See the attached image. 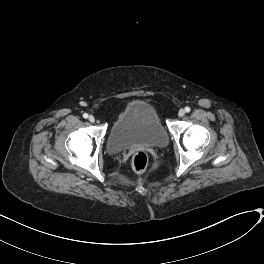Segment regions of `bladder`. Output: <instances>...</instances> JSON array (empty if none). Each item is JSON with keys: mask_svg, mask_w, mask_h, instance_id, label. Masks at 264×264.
<instances>
[{"mask_svg": "<svg viewBox=\"0 0 264 264\" xmlns=\"http://www.w3.org/2000/svg\"><path fill=\"white\" fill-rule=\"evenodd\" d=\"M168 135L157 112L146 102L131 103L116 117L107 138V150L118 154L135 146L163 148Z\"/></svg>", "mask_w": 264, "mask_h": 264, "instance_id": "1", "label": "bladder"}]
</instances>
